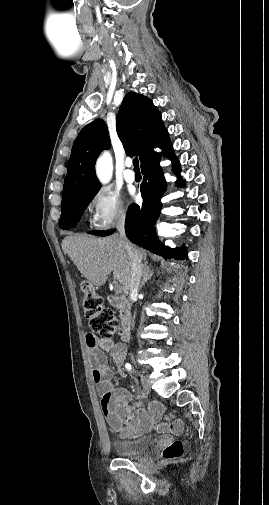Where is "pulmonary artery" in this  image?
<instances>
[{"instance_id":"e3ab8cb5","label":"pulmonary artery","mask_w":269,"mask_h":505,"mask_svg":"<svg viewBox=\"0 0 269 505\" xmlns=\"http://www.w3.org/2000/svg\"><path fill=\"white\" fill-rule=\"evenodd\" d=\"M125 164H126L127 169L124 172V179L128 183H133L135 181V173L131 169L132 161L130 159H127Z\"/></svg>"}]
</instances>
